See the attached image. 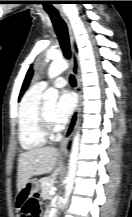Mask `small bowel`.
Segmentation results:
<instances>
[{
	"instance_id": "obj_1",
	"label": "small bowel",
	"mask_w": 132,
	"mask_h": 217,
	"mask_svg": "<svg viewBox=\"0 0 132 217\" xmlns=\"http://www.w3.org/2000/svg\"><path fill=\"white\" fill-rule=\"evenodd\" d=\"M25 202L23 203V205L21 207V217H27V214H25V211H24Z\"/></svg>"
}]
</instances>
